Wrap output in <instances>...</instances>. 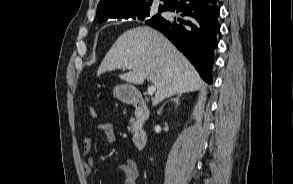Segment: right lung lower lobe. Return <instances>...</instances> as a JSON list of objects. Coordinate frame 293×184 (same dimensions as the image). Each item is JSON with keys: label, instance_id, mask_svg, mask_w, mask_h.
Masks as SVG:
<instances>
[{"label": "right lung lower lobe", "instance_id": "right-lung-lower-lobe-1", "mask_svg": "<svg viewBox=\"0 0 293 184\" xmlns=\"http://www.w3.org/2000/svg\"><path fill=\"white\" fill-rule=\"evenodd\" d=\"M165 10L176 11L182 18L174 21L161 18L146 23L167 36L211 84L213 51L220 29L217 21L220 9L216 0H169Z\"/></svg>", "mask_w": 293, "mask_h": 184}]
</instances>
